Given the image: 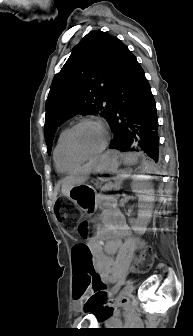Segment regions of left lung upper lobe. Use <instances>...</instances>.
I'll return each instance as SVG.
<instances>
[{"label": "left lung upper lobe", "mask_w": 193, "mask_h": 336, "mask_svg": "<svg viewBox=\"0 0 193 336\" xmlns=\"http://www.w3.org/2000/svg\"><path fill=\"white\" fill-rule=\"evenodd\" d=\"M126 49L117 37L102 31L89 32L74 47L55 75L46 101L48 154L58 126L67 119L76 114H97L109 120L112 89Z\"/></svg>", "instance_id": "5c2ea615"}]
</instances>
